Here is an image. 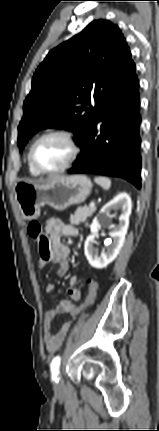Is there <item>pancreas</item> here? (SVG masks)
<instances>
[{
	"label": "pancreas",
	"instance_id": "1",
	"mask_svg": "<svg viewBox=\"0 0 159 431\" xmlns=\"http://www.w3.org/2000/svg\"><path fill=\"white\" fill-rule=\"evenodd\" d=\"M96 211V207H81L78 208L75 214L70 216V223L73 225H79L87 220L88 217Z\"/></svg>",
	"mask_w": 159,
	"mask_h": 431
}]
</instances>
